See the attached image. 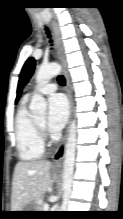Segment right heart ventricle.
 <instances>
[{"label":"right heart ventricle","mask_w":123,"mask_h":219,"mask_svg":"<svg viewBox=\"0 0 123 219\" xmlns=\"http://www.w3.org/2000/svg\"><path fill=\"white\" fill-rule=\"evenodd\" d=\"M15 138L19 157L23 161H35L44 154V142L36 121L29 115L25 101L15 119Z\"/></svg>","instance_id":"right-heart-ventricle-1"}]
</instances>
